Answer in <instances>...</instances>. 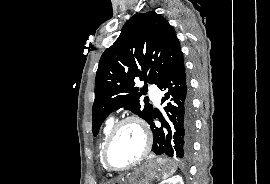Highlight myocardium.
<instances>
[{
  "label": "myocardium",
  "mask_w": 270,
  "mask_h": 184,
  "mask_svg": "<svg viewBox=\"0 0 270 184\" xmlns=\"http://www.w3.org/2000/svg\"><path fill=\"white\" fill-rule=\"evenodd\" d=\"M127 123H133L139 127L144 137V148L140 156L129 165L124 166V167H114L108 161V152L118 131L121 129L123 125ZM151 146H152V137L146 124L143 122V120L137 116H126L118 120L112 127L102 150V163L107 170L112 171V172H122V171L129 170L135 167L136 165L140 164L148 156L151 150Z\"/></svg>",
  "instance_id": "1"
}]
</instances>
